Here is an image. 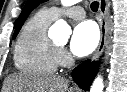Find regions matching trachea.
<instances>
[{"label":"trachea","instance_id":"trachea-1","mask_svg":"<svg viewBox=\"0 0 127 92\" xmlns=\"http://www.w3.org/2000/svg\"><path fill=\"white\" fill-rule=\"evenodd\" d=\"M98 7H99V3H98L97 1H93V2L91 3V10H92L93 12H97V11H98Z\"/></svg>","mask_w":127,"mask_h":92}]
</instances>
